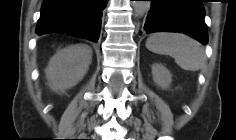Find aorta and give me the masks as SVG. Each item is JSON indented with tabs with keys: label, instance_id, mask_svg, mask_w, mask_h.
Segmentation results:
<instances>
[{
	"label": "aorta",
	"instance_id": "1",
	"mask_svg": "<svg viewBox=\"0 0 236 140\" xmlns=\"http://www.w3.org/2000/svg\"><path fill=\"white\" fill-rule=\"evenodd\" d=\"M151 6L150 1H133V7L136 15L141 16L149 11Z\"/></svg>",
	"mask_w": 236,
	"mask_h": 140
}]
</instances>
